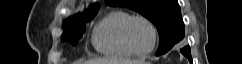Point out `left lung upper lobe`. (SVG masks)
<instances>
[{
    "label": "left lung upper lobe",
    "mask_w": 242,
    "mask_h": 64,
    "mask_svg": "<svg viewBox=\"0 0 242 64\" xmlns=\"http://www.w3.org/2000/svg\"><path fill=\"white\" fill-rule=\"evenodd\" d=\"M109 6H123L139 12L156 27L160 45L156 55L169 51L185 36V25L177 0H105Z\"/></svg>",
    "instance_id": "5c2ea615"
}]
</instances>
